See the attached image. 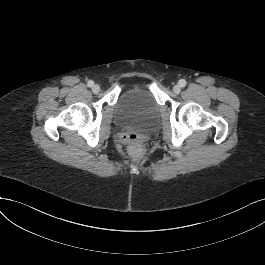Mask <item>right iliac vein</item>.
Returning <instances> with one entry per match:
<instances>
[{
	"instance_id": "obj_1",
	"label": "right iliac vein",
	"mask_w": 265,
	"mask_h": 265,
	"mask_svg": "<svg viewBox=\"0 0 265 265\" xmlns=\"http://www.w3.org/2000/svg\"><path fill=\"white\" fill-rule=\"evenodd\" d=\"M99 91H100V86L99 85H94L92 87V92L93 93L97 94V93H99Z\"/></svg>"
}]
</instances>
